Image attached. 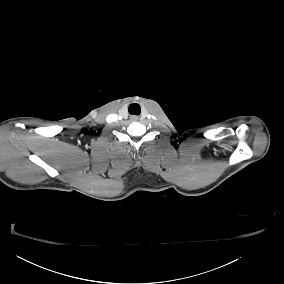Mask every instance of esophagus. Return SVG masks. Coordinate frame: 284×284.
I'll use <instances>...</instances> for the list:
<instances>
[{
    "instance_id": "esophagus-1",
    "label": "esophagus",
    "mask_w": 284,
    "mask_h": 284,
    "mask_svg": "<svg viewBox=\"0 0 284 284\" xmlns=\"http://www.w3.org/2000/svg\"><path fill=\"white\" fill-rule=\"evenodd\" d=\"M130 118H131V119L136 118V120L138 119V117H137V116H135V115L130 116Z\"/></svg>"
}]
</instances>
